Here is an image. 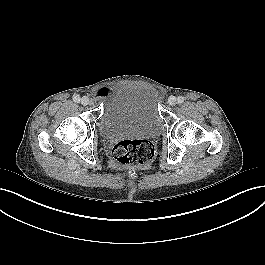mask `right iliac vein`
<instances>
[{"label": "right iliac vein", "instance_id": "obj_1", "mask_svg": "<svg viewBox=\"0 0 265 265\" xmlns=\"http://www.w3.org/2000/svg\"><path fill=\"white\" fill-rule=\"evenodd\" d=\"M81 103H82V105L86 106V105L90 104V100L88 97L84 96L81 98Z\"/></svg>", "mask_w": 265, "mask_h": 265}]
</instances>
